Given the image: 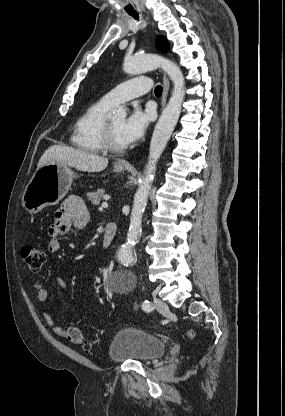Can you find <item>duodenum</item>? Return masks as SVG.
Masks as SVG:
<instances>
[{
	"mask_svg": "<svg viewBox=\"0 0 285 416\" xmlns=\"http://www.w3.org/2000/svg\"><path fill=\"white\" fill-rule=\"evenodd\" d=\"M116 233H117V225L114 222H108L105 225L103 239H102V247L104 249H108L112 246Z\"/></svg>",
	"mask_w": 285,
	"mask_h": 416,
	"instance_id": "1",
	"label": "duodenum"
}]
</instances>
